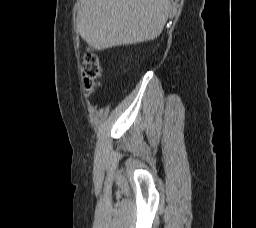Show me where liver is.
I'll list each match as a JSON object with an SVG mask.
<instances>
[{
  "label": "liver",
  "mask_w": 256,
  "mask_h": 228,
  "mask_svg": "<svg viewBox=\"0 0 256 228\" xmlns=\"http://www.w3.org/2000/svg\"><path fill=\"white\" fill-rule=\"evenodd\" d=\"M78 30L96 50L157 38L166 24L170 0H81Z\"/></svg>",
  "instance_id": "1"
}]
</instances>
